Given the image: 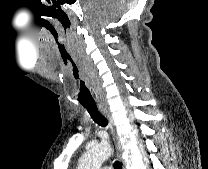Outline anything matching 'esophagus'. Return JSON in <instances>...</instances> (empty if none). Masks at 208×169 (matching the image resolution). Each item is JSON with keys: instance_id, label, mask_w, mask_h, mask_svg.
<instances>
[{"instance_id": "1", "label": "esophagus", "mask_w": 208, "mask_h": 169, "mask_svg": "<svg viewBox=\"0 0 208 169\" xmlns=\"http://www.w3.org/2000/svg\"><path fill=\"white\" fill-rule=\"evenodd\" d=\"M99 110L100 112L105 116V118L109 121V126L111 129V134L113 136L114 139V143L116 146V155L117 158L122 162V169H126V163L122 158V147H121V143L119 141V136L117 134L114 122H113V118L111 116L110 111L108 110V108L106 106H99Z\"/></svg>"}]
</instances>
